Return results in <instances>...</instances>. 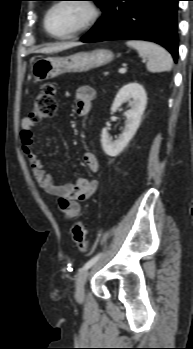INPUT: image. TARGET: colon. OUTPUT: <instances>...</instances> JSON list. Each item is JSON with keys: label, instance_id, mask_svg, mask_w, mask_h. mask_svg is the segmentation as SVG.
Masks as SVG:
<instances>
[{"label": "colon", "instance_id": "obj_1", "mask_svg": "<svg viewBox=\"0 0 193 349\" xmlns=\"http://www.w3.org/2000/svg\"><path fill=\"white\" fill-rule=\"evenodd\" d=\"M55 92L56 90L53 84L46 83L41 87L33 102V107L29 116L30 119L34 122H39L54 117L57 110ZM71 233L75 247L79 251L85 252L88 248L85 225L80 221L75 222L72 226Z\"/></svg>", "mask_w": 193, "mask_h": 349}]
</instances>
